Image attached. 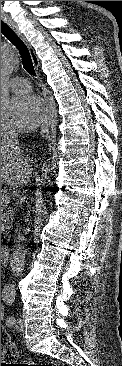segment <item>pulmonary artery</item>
Here are the masks:
<instances>
[{"instance_id": "obj_1", "label": "pulmonary artery", "mask_w": 122, "mask_h": 366, "mask_svg": "<svg viewBox=\"0 0 122 366\" xmlns=\"http://www.w3.org/2000/svg\"><path fill=\"white\" fill-rule=\"evenodd\" d=\"M9 88L17 94L27 93L31 90L29 80L22 77H14L8 83Z\"/></svg>"}]
</instances>
